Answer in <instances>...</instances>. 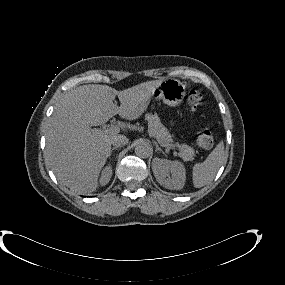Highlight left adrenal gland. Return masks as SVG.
Wrapping results in <instances>:
<instances>
[{"label": "left adrenal gland", "mask_w": 285, "mask_h": 285, "mask_svg": "<svg viewBox=\"0 0 285 285\" xmlns=\"http://www.w3.org/2000/svg\"><path fill=\"white\" fill-rule=\"evenodd\" d=\"M156 151H162V149L158 146V144L155 143Z\"/></svg>", "instance_id": "a2214340"}]
</instances>
